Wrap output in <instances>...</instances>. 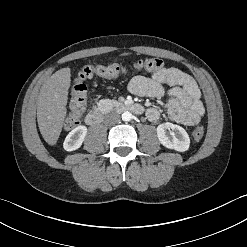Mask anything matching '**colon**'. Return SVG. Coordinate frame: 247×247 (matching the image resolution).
<instances>
[{"label":"colon","mask_w":247,"mask_h":247,"mask_svg":"<svg viewBox=\"0 0 247 247\" xmlns=\"http://www.w3.org/2000/svg\"><path fill=\"white\" fill-rule=\"evenodd\" d=\"M137 71L156 73L164 68V63L159 58L139 59L132 64ZM126 68L119 64L109 65H86L78 73L74 80L71 91L70 113L66 120V128L71 129L79 124L80 118L85 111L87 105V86L85 81L93 76H101L106 78H115L124 74ZM191 136L193 141L199 142L204 136V127L196 126Z\"/></svg>","instance_id":"1"}]
</instances>
